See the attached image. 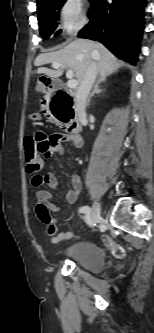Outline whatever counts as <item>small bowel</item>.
Masks as SVG:
<instances>
[{
	"instance_id": "obj_1",
	"label": "small bowel",
	"mask_w": 154,
	"mask_h": 333,
	"mask_svg": "<svg viewBox=\"0 0 154 333\" xmlns=\"http://www.w3.org/2000/svg\"><path fill=\"white\" fill-rule=\"evenodd\" d=\"M37 151L40 157L44 159H50L52 156H62L64 154V143L70 142L75 147L82 145V138L79 135L69 133H55L49 137L39 132L35 136ZM32 185L39 188L37 191L38 204L36 212L38 218L45 224V231L49 228L50 212L59 210V207L53 202V196L47 189H43V186H48L51 189H56L58 180L53 173H47L45 175H34L32 178ZM82 189V181L76 174L71 176V188L65 193V200L68 203H74ZM73 237L71 231H60L51 238V242L58 244L69 240Z\"/></svg>"
}]
</instances>
